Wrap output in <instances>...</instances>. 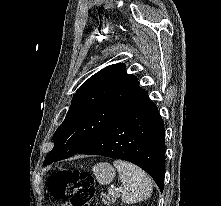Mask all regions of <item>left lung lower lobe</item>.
Wrapping results in <instances>:
<instances>
[{"label": "left lung lower lobe", "mask_w": 221, "mask_h": 206, "mask_svg": "<svg viewBox=\"0 0 221 206\" xmlns=\"http://www.w3.org/2000/svg\"><path fill=\"white\" fill-rule=\"evenodd\" d=\"M164 123L144 92L101 134L76 154L122 159L145 170L161 192L165 175Z\"/></svg>", "instance_id": "1"}]
</instances>
